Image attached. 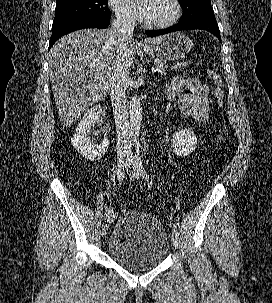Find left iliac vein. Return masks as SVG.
I'll return each mask as SVG.
<instances>
[{
  "instance_id": "4c4485c4",
  "label": "left iliac vein",
  "mask_w": 272,
  "mask_h": 303,
  "mask_svg": "<svg viewBox=\"0 0 272 303\" xmlns=\"http://www.w3.org/2000/svg\"><path fill=\"white\" fill-rule=\"evenodd\" d=\"M125 167H126L127 173L129 174V176L131 178L139 179L140 171H139L137 165L135 164V162L133 161V159L129 158ZM171 239H172L173 245L177 248L179 246L178 236H176L172 233Z\"/></svg>"
}]
</instances>
